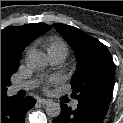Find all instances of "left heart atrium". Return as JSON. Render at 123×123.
I'll return each mask as SVG.
<instances>
[{"label": "left heart atrium", "instance_id": "left-heart-atrium-1", "mask_svg": "<svg viewBox=\"0 0 123 123\" xmlns=\"http://www.w3.org/2000/svg\"><path fill=\"white\" fill-rule=\"evenodd\" d=\"M55 79H51L50 82H53Z\"/></svg>", "mask_w": 123, "mask_h": 123}]
</instances>
